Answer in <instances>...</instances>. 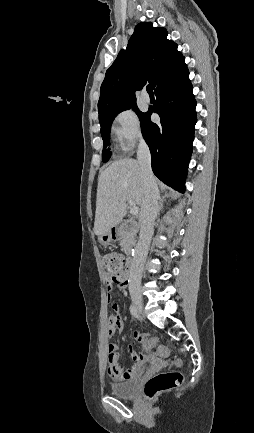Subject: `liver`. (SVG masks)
I'll list each match as a JSON object with an SVG mask.
<instances>
[{
	"label": "liver",
	"instance_id": "obj_1",
	"mask_svg": "<svg viewBox=\"0 0 254 433\" xmlns=\"http://www.w3.org/2000/svg\"><path fill=\"white\" fill-rule=\"evenodd\" d=\"M156 182L157 194L159 189ZM145 184L139 162L120 159L111 163L98 178L94 233L100 237L118 225L125 214L127 202L142 206Z\"/></svg>",
	"mask_w": 254,
	"mask_h": 433
}]
</instances>
